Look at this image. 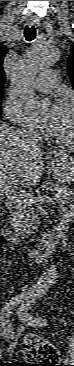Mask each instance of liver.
<instances>
[{"instance_id": "liver-1", "label": "liver", "mask_w": 74, "mask_h": 366, "mask_svg": "<svg viewBox=\"0 0 74 366\" xmlns=\"http://www.w3.org/2000/svg\"><path fill=\"white\" fill-rule=\"evenodd\" d=\"M57 155V151H54ZM43 154L24 143L20 130L0 124V186L11 190L36 185L42 177Z\"/></svg>"}]
</instances>
